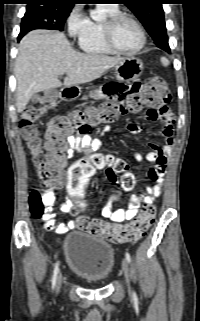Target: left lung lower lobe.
I'll return each instance as SVG.
<instances>
[{
  "label": "left lung lower lobe",
  "instance_id": "0a47b994",
  "mask_svg": "<svg viewBox=\"0 0 200 321\" xmlns=\"http://www.w3.org/2000/svg\"><path fill=\"white\" fill-rule=\"evenodd\" d=\"M166 52L170 53V48H168Z\"/></svg>",
  "mask_w": 200,
  "mask_h": 321
}]
</instances>
